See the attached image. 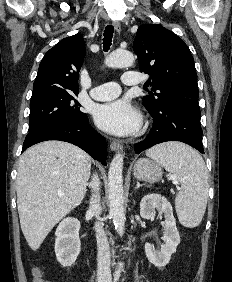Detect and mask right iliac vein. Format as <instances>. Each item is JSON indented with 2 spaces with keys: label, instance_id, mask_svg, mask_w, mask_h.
<instances>
[{
  "label": "right iliac vein",
  "instance_id": "1",
  "mask_svg": "<svg viewBox=\"0 0 232 282\" xmlns=\"http://www.w3.org/2000/svg\"><path fill=\"white\" fill-rule=\"evenodd\" d=\"M98 282H107V281L102 280V281H98Z\"/></svg>",
  "mask_w": 232,
  "mask_h": 282
}]
</instances>
